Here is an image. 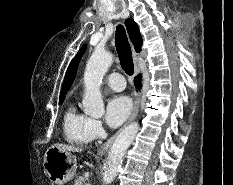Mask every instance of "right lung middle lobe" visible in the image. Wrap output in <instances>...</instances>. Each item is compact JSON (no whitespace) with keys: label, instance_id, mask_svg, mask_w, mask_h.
<instances>
[{"label":"right lung middle lobe","instance_id":"obj_1","mask_svg":"<svg viewBox=\"0 0 233 185\" xmlns=\"http://www.w3.org/2000/svg\"><path fill=\"white\" fill-rule=\"evenodd\" d=\"M63 101H60L59 104H62Z\"/></svg>","mask_w":233,"mask_h":185}]
</instances>
